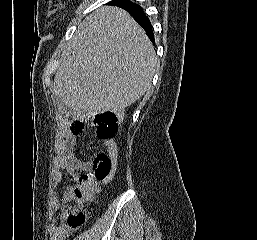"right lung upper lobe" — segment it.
I'll use <instances>...</instances> for the list:
<instances>
[{
    "label": "right lung upper lobe",
    "mask_w": 257,
    "mask_h": 240,
    "mask_svg": "<svg viewBox=\"0 0 257 240\" xmlns=\"http://www.w3.org/2000/svg\"><path fill=\"white\" fill-rule=\"evenodd\" d=\"M126 0H113L112 2H111V4H114V5H124V2H125Z\"/></svg>",
    "instance_id": "cb5924a9"
}]
</instances>
